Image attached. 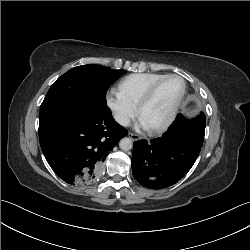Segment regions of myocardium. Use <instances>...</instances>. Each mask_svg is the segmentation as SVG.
Here are the masks:
<instances>
[{"mask_svg": "<svg viewBox=\"0 0 250 250\" xmlns=\"http://www.w3.org/2000/svg\"><path fill=\"white\" fill-rule=\"evenodd\" d=\"M170 78L179 79L182 82V90H181L180 95L178 96L170 114L168 115V117L162 123L155 125V126H152V127H148V130L152 133L163 132L166 129H168L171 126V124L174 122V120L178 114L180 105H181L183 98L185 96V93H186V81L180 75L166 74V75L162 76L161 78H159L158 80H156L155 82H153L148 87V89L146 90V92L144 93V95L142 96V98L140 99V101L137 105L138 116L141 117L143 109L151 101L157 88L160 86L161 83H163L165 80L170 79Z\"/></svg>", "mask_w": 250, "mask_h": 250, "instance_id": "1", "label": "myocardium"}]
</instances>
